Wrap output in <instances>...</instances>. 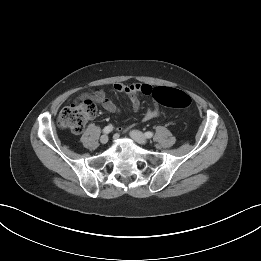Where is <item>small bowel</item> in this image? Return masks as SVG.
<instances>
[{
  "mask_svg": "<svg viewBox=\"0 0 261 261\" xmlns=\"http://www.w3.org/2000/svg\"><path fill=\"white\" fill-rule=\"evenodd\" d=\"M114 89L118 92H122L127 94L130 97L131 106L134 111H138L140 109V101L139 95H151L153 91V87L149 84L144 83H133V84H124V83H116L114 85ZM98 92L101 95L96 99L97 102L101 103L104 109H106L110 113H118V107L107 98L101 90H95L92 98L95 97V93ZM89 97L88 94H83L81 98ZM160 111L158 108H150L144 114L143 119L145 121L153 119L159 116Z\"/></svg>",
  "mask_w": 261,
  "mask_h": 261,
  "instance_id": "small-bowel-1",
  "label": "small bowel"
}]
</instances>
